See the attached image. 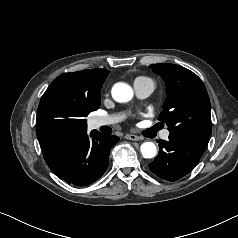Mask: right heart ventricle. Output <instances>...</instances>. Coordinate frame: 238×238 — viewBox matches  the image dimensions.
Wrapping results in <instances>:
<instances>
[{"label": "right heart ventricle", "mask_w": 238, "mask_h": 238, "mask_svg": "<svg viewBox=\"0 0 238 238\" xmlns=\"http://www.w3.org/2000/svg\"><path fill=\"white\" fill-rule=\"evenodd\" d=\"M139 81H152V80L145 76H139V77L135 78L134 83L139 82Z\"/></svg>", "instance_id": "e07e8e85"}]
</instances>
